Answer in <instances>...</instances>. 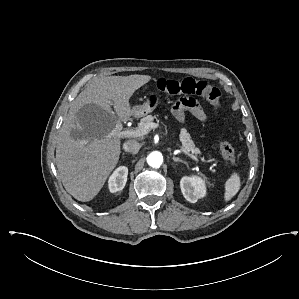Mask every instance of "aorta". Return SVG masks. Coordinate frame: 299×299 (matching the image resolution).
Returning <instances> with one entry per match:
<instances>
[{
    "label": "aorta",
    "mask_w": 299,
    "mask_h": 299,
    "mask_svg": "<svg viewBox=\"0 0 299 299\" xmlns=\"http://www.w3.org/2000/svg\"><path fill=\"white\" fill-rule=\"evenodd\" d=\"M147 163L153 168L160 167L163 163L162 154L158 151L151 152L147 157Z\"/></svg>",
    "instance_id": "762f6f07"
}]
</instances>
